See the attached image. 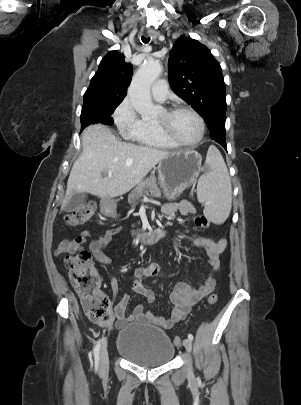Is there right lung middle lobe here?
I'll return each instance as SVG.
<instances>
[{"label": "right lung middle lobe", "mask_w": 301, "mask_h": 405, "mask_svg": "<svg viewBox=\"0 0 301 405\" xmlns=\"http://www.w3.org/2000/svg\"><path fill=\"white\" fill-rule=\"evenodd\" d=\"M121 101L103 99V98H90L83 101L81 111V128L92 123H103L112 125L113 118L111 117L115 108Z\"/></svg>", "instance_id": "dd1d6c3e"}]
</instances>
